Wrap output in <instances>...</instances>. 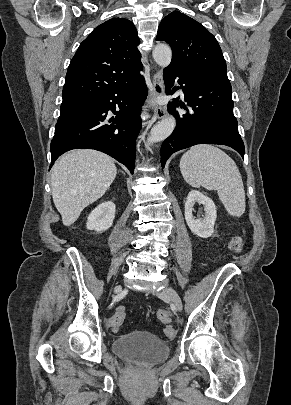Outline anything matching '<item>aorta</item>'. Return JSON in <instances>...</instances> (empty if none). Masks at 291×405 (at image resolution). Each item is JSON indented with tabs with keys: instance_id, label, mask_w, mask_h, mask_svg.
I'll use <instances>...</instances> for the list:
<instances>
[{
	"instance_id": "aorta-1",
	"label": "aorta",
	"mask_w": 291,
	"mask_h": 405,
	"mask_svg": "<svg viewBox=\"0 0 291 405\" xmlns=\"http://www.w3.org/2000/svg\"><path fill=\"white\" fill-rule=\"evenodd\" d=\"M153 58L159 66L168 67L172 59L171 48L167 44L158 43L153 49ZM175 126L176 120L174 117L163 119L151 129L148 144L165 140L173 132Z\"/></svg>"
}]
</instances>
